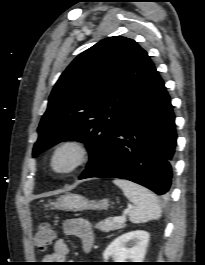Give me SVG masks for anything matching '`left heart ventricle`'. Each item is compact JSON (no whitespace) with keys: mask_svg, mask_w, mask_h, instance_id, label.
<instances>
[{"mask_svg":"<svg viewBox=\"0 0 205 265\" xmlns=\"http://www.w3.org/2000/svg\"><path fill=\"white\" fill-rule=\"evenodd\" d=\"M74 152L70 149L61 151L55 158V166L58 169H64L68 167L74 160Z\"/></svg>","mask_w":205,"mask_h":265,"instance_id":"obj_1","label":"left heart ventricle"}]
</instances>
